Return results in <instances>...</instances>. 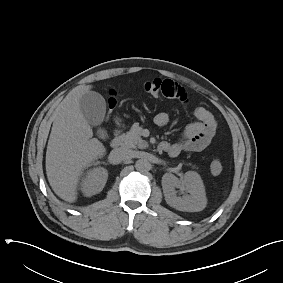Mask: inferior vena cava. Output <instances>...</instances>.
<instances>
[{"label":"inferior vena cava","instance_id":"602c4592","mask_svg":"<svg viewBox=\"0 0 283 283\" xmlns=\"http://www.w3.org/2000/svg\"><path fill=\"white\" fill-rule=\"evenodd\" d=\"M134 155V152L126 148H117L111 151L110 153V162L113 164H119L123 161L131 159Z\"/></svg>","mask_w":283,"mask_h":283}]
</instances>
